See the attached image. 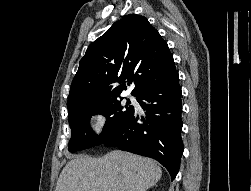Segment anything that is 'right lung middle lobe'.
Instances as JSON below:
<instances>
[{"label": "right lung middle lobe", "instance_id": "dd1d6c3e", "mask_svg": "<svg viewBox=\"0 0 251 191\" xmlns=\"http://www.w3.org/2000/svg\"><path fill=\"white\" fill-rule=\"evenodd\" d=\"M122 105L118 99L89 105L75 106L68 109V121L72 131L69 141L70 152L100 145L109 135L122 126L134 111L133 106ZM102 114L107 118L103 132L96 135L90 126L92 115Z\"/></svg>", "mask_w": 251, "mask_h": 191}]
</instances>
